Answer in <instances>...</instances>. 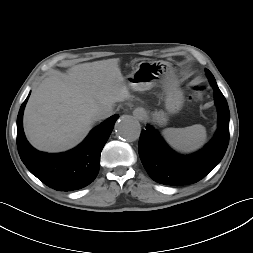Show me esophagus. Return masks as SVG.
Segmentation results:
<instances>
[{
	"instance_id": "esophagus-1",
	"label": "esophagus",
	"mask_w": 253,
	"mask_h": 253,
	"mask_svg": "<svg viewBox=\"0 0 253 253\" xmlns=\"http://www.w3.org/2000/svg\"><path fill=\"white\" fill-rule=\"evenodd\" d=\"M135 118H137L138 120H142L144 117V111L142 110H137L134 114Z\"/></svg>"
}]
</instances>
